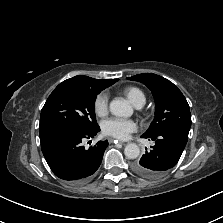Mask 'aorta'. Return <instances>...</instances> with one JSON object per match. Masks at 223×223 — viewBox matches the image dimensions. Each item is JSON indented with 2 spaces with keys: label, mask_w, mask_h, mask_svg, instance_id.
<instances>
[{
  "label": "aorta",
  "mask_w": 223,
  "mask_h": 223,
  "mask_svg": "<svg viewBox=\"0 0 223 223\" xmlns=\"http://www.w3.org/2000/svg\"><path fill=\"white\" fill-rule=\"evenodd\" d=\"M109 108L111 114L117 117H130L133 114L132 107L124 100H112ZM124 154L128 159H136L140 155V149L135 143H129L125 146Z\"/></svg>",
  "instance_id": "762f6f07"
}]
</instances>
